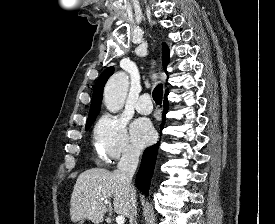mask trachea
<instances>
[{
  "mask_svg": "<svg viewBox=\"0 0 275 224\" xmlns=\"http://www.w3.org/2000/svg\"><path fill=\"white\" fill-rule=\"evenodd\" d=\"M163 85L158 84L153 90V100L157 105L162 104Z\"/></svg>",
  "mask_w": 275,
  "mask_h": 224,
  "instance_id": "obj_1",
  "label": "trachea"
}]
</instances>
